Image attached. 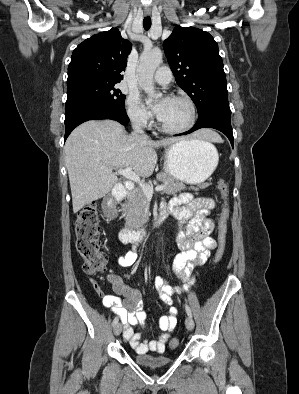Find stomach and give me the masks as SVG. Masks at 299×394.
Segmentation results:
<instances>
[{"instance_id":"1","label":"stomach","mask_w":299,"mask_h":394,"mask_svg":"<svg viewBox=\"0 0 299 394\" xmlns=\"http://www.w3.org/2000/svg\"><path fill=\"white\" fill-rule=\"evenodd\" d=\"M201 139L181 140L165 151L164 171L170 177L197 185L204 182L217 167L216 148Z\"/></svg>"}]
</instances>
